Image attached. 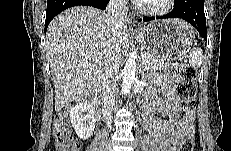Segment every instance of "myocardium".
Instances as JSON below:
<instances>
[{
	"mask_svg": "<svg viewBox=\"0 0 231 151\" xmlns=\"http://www.w3.org/2000/svg\"><path fill=\"white\" fill-rule=\"evenodd\" d=\"M174 3V0H164L160 6H154L150 3L139 5V10L148 16H162L167 14Z\"/></svg>",
	"mask_w": 231,
	"mask_h": 151,
	"instance_id": "1",
	"label": "myocardium"
}]
</instances>
